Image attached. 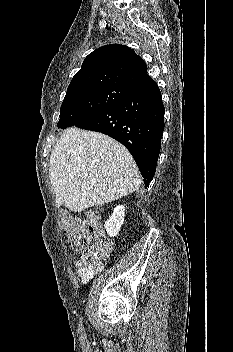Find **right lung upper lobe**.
Segmentation results:
<instances>
[{"label": "right lung upper lobe", "instance_id": "cb5924a9", "mask_svg": "<svg viewBox=\"0 0 233 352\" xmlns=\"http://www.w3.org/2000/svg\"><path fill=\"white\" fill-rule=\"evenodd\" d=\"M154 83L147 74L145 62L131 48L110 44L94 50L85 58L67 92L106 84L126 86L137 92Z\"/></svg>", "mask_w": 233, "mask_h": 352}]
</instances>
